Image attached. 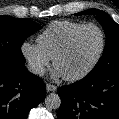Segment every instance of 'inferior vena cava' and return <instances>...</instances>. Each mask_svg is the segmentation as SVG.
<instances>
[{
	"mask_svg": "<svg viewBox=\"0 0 119 119\" xmlns=\"http://www.w3.org/2000/svg\"><path fill=\"white\" fill-rule=\"evenodd\" d=\"M27 69H28L29 72H31L33 74L42 75L45 72V68L42 65L38 64V63H29L27 65Z\"/></svg>",
	"mask_w": 119,
	"mask_h": 119,
	"instance_id": "inferior-vena-cava-1",
	"label": "inferior vena cava"
}]
</instances>
